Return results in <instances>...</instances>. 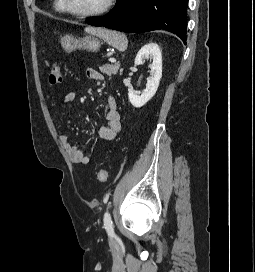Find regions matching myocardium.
Segmentation results:
<instances>
[{"label":"myocardium","mask_w":255,"mask_h":272,"mask_svg":"<svg viewBox=\"0 0 255 272\" xmlns=\"http://www.w3.org/2000/svg\"><path fill=\"white\" fill-rule=\"evenodd\" d=\"M61 1L65 11L69 13L70 15L77 18H91V17H97L100 15H103L110 10V8L112 7L114 3V0H106L105 3L99 9L82 13V12L74 11L69 5V0H61Z\"/></svg>","instance_id":"1"}]
</instances>
